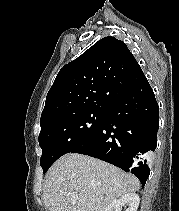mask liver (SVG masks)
I'll return each mask as SVG.
<instances>
[{
    "mask_svg": "<svg viewBox=\"0 0 179 211\" xmlns=\"http://www.w3.org/2000/svg\"><path fill=\"white\" fill-rule=\"evenodd\" d=\"M139 188L132 174L87 155L68 153L49 169L43 200L48 211H104L118 197Z\"/></svg>",
    "mask_w": 179,
    "mask_h": 211,
    "instance_id": "liver-1",
    "label": "liver"
}]
</instances>
